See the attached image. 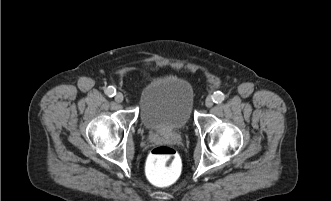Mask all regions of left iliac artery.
Wrapping results in <instances>:
<instances>
[{"mask_svg":"<svg viewBox=\"0 0 331 201\" xmlns=\"http://www.w3.org/2000/svg\"><path fill=\"white\" fill-rule=\"evenodd\" d=\"M225 98V95L220 92V91H217V92H214V94L212 95V99L215 103H221Z\"/></svg>","mask_w":331,"mask_h":201,"instance_id":"left-iliac-artery-1","label":"left iliac artery"}]
</instances>
